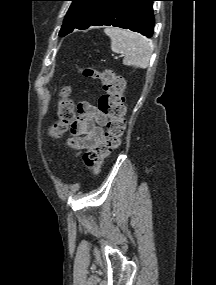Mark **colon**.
I'll return each mask as SVG.
<instances>
[{
	"label": "colon",
	"mask_w": 216,
	"mask_h": 285,
	"mask_svg": "<svg viewBox=\"0 0 216 285\" xmlns=\"http://www.w3.org/2000/svg\"><path fill=\"white\" fill-rule=\"evenodd\" d=\"M80 71L84 77L100 80L104 90L98 110L107 118L106 130L102 139L90 147L83 157L85 166L94 174H98L104 159L119 147L125 132V80L110 69L86 67ZM69 93L68 87H63L60 91L59 120L50 129L53 136L62 134L74 119V106L68 98Z\"/></svg>",
	"instance_id": "colon-1"
}]
</instances>
